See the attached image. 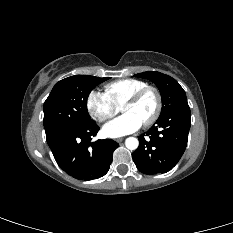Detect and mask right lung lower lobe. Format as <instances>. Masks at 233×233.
Wrapping results in <instances>:
<instances>
[{
  "label": "right lung lower lobe",
  "mask_w": 233,
  "mask_h": 233,
  "mask_svg": "<svg viewBox=\"0 0 233 233\" xmlns=\"http://www.w3.org/2000/svg\"><path fill=\"white\" fill-rule=\"evenodd\" d=\"M98 130L99 126L92 120L46 134L47 143L62 170L87 181L108 172L118 143L110 139L91 142Z\"/></svg>",
  "instance_id": "right-lung-lower-lobe-1"
}]
</instances>
